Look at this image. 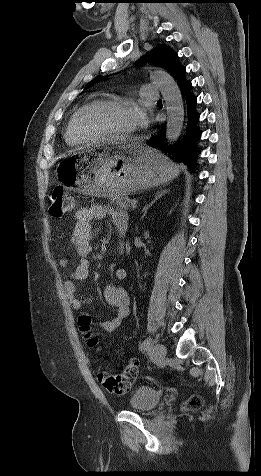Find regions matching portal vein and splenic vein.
Listing matches in <instances>:
<instances>
[{
    "label": "portal vein and splenic vein",
    "mask_w": 261,
    "mask_h": 476,
    "mask_svg": "<svg viewBox=\"0 0 261 476\" xmlns=\"http://www.w3.org/2000/svg\"><path fill=\"white\" fill-rule=\"evenodd\" d=\"M130 203H131V208H132V209H136V208H137V201L131 200Z\"/></svg>",
    "instance_id": "1"
}]
</instances>
